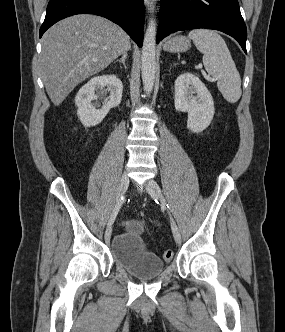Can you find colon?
<instances>
[{
  "mask_svg": "<svg viewBox=\"0 0 285 332\" xmlns=\"http://www.w3.org/2000/svg\"><path fill=\"white\" fill-rule=\"evenodd\" d=\"M173 258V251L172 250H167L163 254V259L165 261H170Z\"/></svg>",
  "mask_w": 285,
  "mask_h": 332,
  "instance_id": "5ec220e1",
  "label": "colon"
}]
</instances>
